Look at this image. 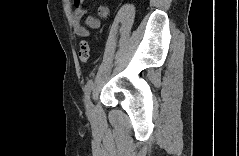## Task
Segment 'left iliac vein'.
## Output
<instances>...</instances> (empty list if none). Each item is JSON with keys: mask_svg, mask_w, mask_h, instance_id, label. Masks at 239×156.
<instances>
[{"mask_svg": "<svg viewBox=\"0 0 239 156\" xmlns=\"http://www.w3.org/2000/svg\"><path fill=\"white\" fill-rule=\"evenodd\" d=\"M86 108L90 110L92 108V102L90 96L86 99Z\"/></svg>", "mask_w": 239, "mask_h": 156, "instance_id": "left-iliac-vein-1", "label": "left iliac vein"}]
</instances>
